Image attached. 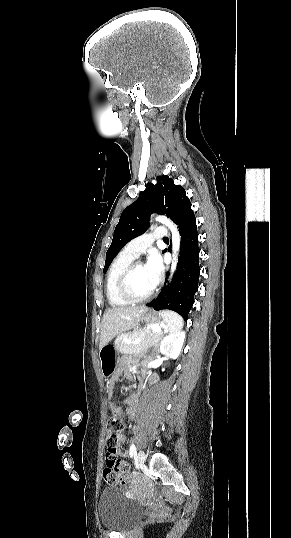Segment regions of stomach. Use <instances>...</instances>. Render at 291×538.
Segmentation results:
<instances>
[{
  "mask_svg": "<svg viewBox=\"0 0 291 538\" xmlns=\"http://www.w3.org/2000/svg\"><path fill=\"white\" fill-rule=\"evenodd\" d=\"M142 319L150 327L166 324L161 314H155L153 312L144 313ZM99 358L101 361L102 376L104 377V379L108 380L116 373V369L118 366L119 357L116 347L106 344L105 346L100 348Z\"/></svg>",
  "mask_w": 291,
  "mask_h": 538,
  "instance_id": "0dacf381",
  "label": "stomach"
}]
</instances>
